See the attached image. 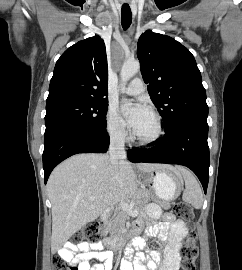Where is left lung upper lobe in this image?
Here are the masks:
<instances>
[{
  "label": "left lung upper lobe",
  "mask_w": 242,
  "mask_h": 270,
  "mask_svg": "<svg viewBox=\"0 0 242 270\" xmlns=\"http://www.w3.org/2000/svg\"><path fill=\"white\" fill-rule=\"evenodd\" d=\"M137 56L165 131L187 119H207L201 73L187 48L169 36L147 30L138 40Z\"/></svg>",
  "instance_id": "left-lung-upper-lobe-1"
}]
</instances>
